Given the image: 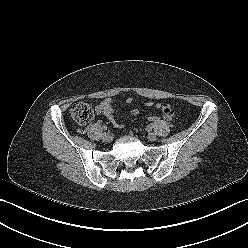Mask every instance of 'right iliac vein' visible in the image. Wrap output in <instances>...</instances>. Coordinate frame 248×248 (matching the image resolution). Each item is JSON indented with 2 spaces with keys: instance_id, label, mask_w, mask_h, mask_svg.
Here are the masks:
<instances>
[{
  "instance_id": "right-iliac-vein-1",
  "label": "right iliac vein",
  "mask_w": 248,
  "mask_h": 248,
  "mask_svg": "<svg viewBox=\"0 0 248 248\" xmlns=\"http://www.w3.org/2000/svg\"><path fill=\"white\" fill-rule=\"evenodd\" d=\"M102 140H103L104 142H110V141L112 140V137H111L110 134L104 133L103 136H102Z\"/></svg>"
}]
</instances>
